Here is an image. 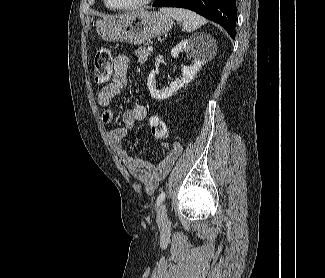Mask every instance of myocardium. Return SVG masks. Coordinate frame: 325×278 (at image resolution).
<instances>
[{"instance_id": "obj_1", "label": "myocardium", "mask_w": 325, "mask_h": 278, "mask_svg": "<svg viewBox=\"0 0 325 278\" xmlns=\"http://www.w3.org/2000/svg\"><path fill=\"white\" fill-rule=\"evenodd\" d=\"M104 1H105L106 5L113 10L128 11V10H135V9L144 7V6L148 5L149 3H151L153 0H140L136 3L124 5V6H115V5H112L109 0H104Z\"/></svg>"}]
</instances>
